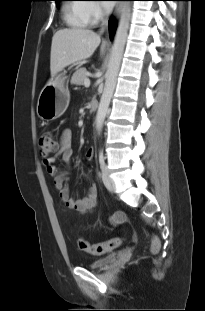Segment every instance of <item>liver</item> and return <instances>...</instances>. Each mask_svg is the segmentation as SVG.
Instances as JSON below:
<instances>
[{"label":"liver","mask_w":205,"mask_h":311,"mask_svg":"<svg viewBox=\"0 0 205 311\" xmlns=\"http://www.w3.org/2000/svg\"><path fill=\"white\" fill-rule=\"evenodd\" d=\"M101 42L100 35L90 29L69 28L52 37L50 71L54 77L65 67L89 58ZM104 47L101 48L103 52Z\"/></svg>","instance_id":"obj_1"}]
</instances>
